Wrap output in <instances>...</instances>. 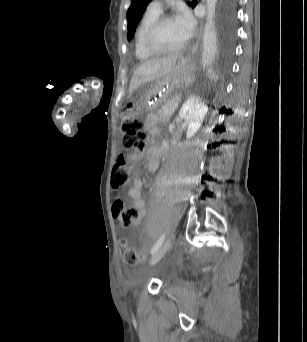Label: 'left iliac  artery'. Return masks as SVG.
<instances>
[{
  "label": "left iliac artery",
  "instance_id": "1",
  "mask_svg": "<svg viewBox=\"0 0 307 342\" xmlns=\"http://www.w3.org/2000/svg\"><path fill=\"white\" fill-rule=\"evenodd\" d=\"M164 238H165V235L162 234L160 238L158 239V241L155 243V245L152 247L151 254H154L160 248V246L162 245L164 241Z\"/></svg>",
  "mask_w": 307,
  "mask_h": 342
}]
</instances>
